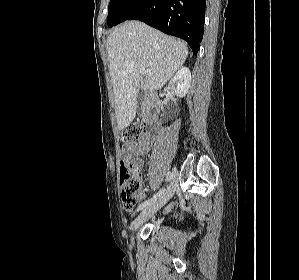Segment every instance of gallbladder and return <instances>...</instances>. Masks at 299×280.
<instances>
[{
	"label": "gallbladder",
	"mask_w": 299,
	"mask_h": 280,
	"mask_svg": "<svg viewBox=\"0 0 299 280\" xmlns=\"http://www.w3.org/2000/svg\"><path fill=\"white\" fill-rule=\"evenodd\" d=\"M144 99H145V93L143 91H141L138 94V98H137V108L139 110V113H140V106L143 103Z\"/></svg>",
	"instance_id": "gallbladder-1"
}]
</instances>
